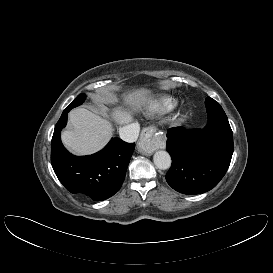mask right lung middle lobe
<instances>
[{"label":"right lung middle lobe","mask_w":273,"mask_h":273,"mask_svg":"<svg viewBox=\"0 0 273 273\" xmlns=\"http://www.w3.org/2000/svg\"><path fill=\"white\" fill-rule=\"evenodd\" d=\"M85 99V94H80L76 97V99L65 109V110H71L74 107H77L83 103Z\"/></svg>","instance_id":"dd1d6c3e"}]
</instances>
